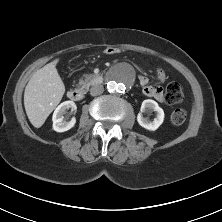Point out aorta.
I'll return each instance as SVG.
<instances>
[{
	"label": "aorta",
	"mask_w": 222,
	"mask_h": 222,
	"mask_svg": "<svg viewBox=\"0 0 222 222\" xmlns=\"http://www.w3.org/2000/svg\"><path fill=\"white\" fill-rule=\"evenodd\" d=\"M134 77L127 66L115 69L108 77L107 89L112 94L124 93L133 84Z\"/></svg>",
	"instance_id": "762f6f07"
}]
</instances>
